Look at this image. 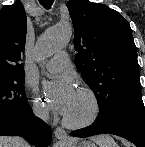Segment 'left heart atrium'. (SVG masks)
<instances>
[{
  "label": "left heart atrium",
  "instance_id": "1",
  "mask_svg": "<svg viewBox=\"0 0 145 147\" xmlns=\"http://www.w3.org/2000/svg\"><path fill=\"white\" fill-rule=\"evenodd\" d=\"M43 90L50 108L57 114L66 116L76 98L77 91L70 77H62L54 82H46Z\"/></svg>",
  "mask_w": 145,
  "mask_h": 147
}]
</instances>
